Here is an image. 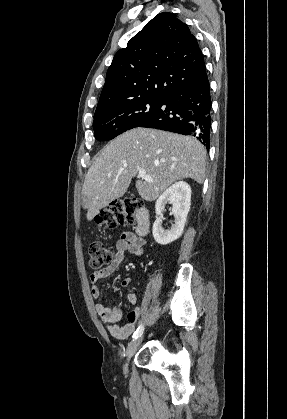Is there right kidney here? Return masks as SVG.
<instances>
[{
	"mask_svg": "<svg viewBox=\"0 0 287 419\" xmlns=\"http://www.w3.org/2000/svg\"><path fill=\"white\" fill-rule=\"evenodd\" d=\"M190 202L191 188L184 181L173 184L161 194L155 204L157 218L153 224V237L158 244H170L182 235ZM167 203L172 204V214L174 215V224L169 230H165L162 226L163 210Z\"/></svg>",
	"mask_w": 287,
	"mask_h": 419,
	"instance_id": "ca27d5eb",
	"label": "right kidney"
}]
</instances>
